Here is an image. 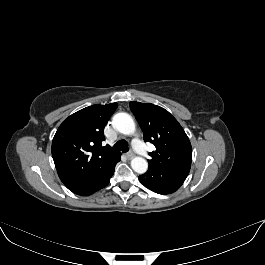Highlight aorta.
I'll return each instance as SVG.
<instances>
[{
	"mask_svg": "<svg viewBox=\"0 0 265 265\" xmlns=\"http://www.w3.org/2000/svg\"><path fill=\"white\" fill-rule=\"evenodd\" d=\"M113 126L118 132L125 135H131L135 132L134 120L129 114L124 112L114 115ZM131 167L135 172L143 174L148 169V163L144 158L137 156L132 159Z\"/></svg>",
	"mask_w": 265,
	"mask_h": 265,
	"instance_id": "1",
	"label": "aorta"
}]
</instances>
